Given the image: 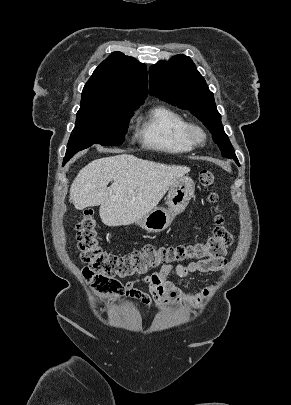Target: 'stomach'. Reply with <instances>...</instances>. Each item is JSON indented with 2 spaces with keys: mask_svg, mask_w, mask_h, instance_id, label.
I'll return each instance as SVG.
<instances>
[{
  "mask_svg": "<svg viewBox=\"0 0 291 405\" xmlns=\"http://www.w3.org/2000/svg\"><path fill=\"white\" fill-rule=\"evenodd\" d=\"M195 185L188 176L178 178L170 187L167 195V208L156 207L135 222V225L148 232L157 233L165 230L176 215L185 210L194 196Z\"/></svg>",
  "mask_w": 291,
  "mask_h": 405,
  "instance_id": "obj_1",
  "label": "stomach"
}]
</instances>
